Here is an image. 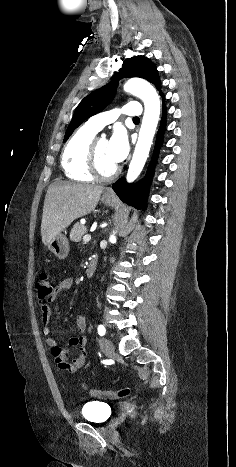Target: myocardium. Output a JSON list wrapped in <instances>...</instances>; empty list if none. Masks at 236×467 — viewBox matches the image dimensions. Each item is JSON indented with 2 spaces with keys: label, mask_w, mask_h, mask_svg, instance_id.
Returning a JSON list of instances; mask_svg holds the SVG:
<instances>
[{
  "label": "myocardium",
  "mask_w": 236,
  "mask_h": 467,
  "mask_svg": "<svg viewBox=\"0 0 236 467\" xmlns=\"http://www.w3.org/2000/svg\"><path fill=\"white\" fill-rule=\"evenodd\" d=\"M98 138L93 139L89 151H88V170L90 174L99 180L107 181L117 176L119 173V167L116 165L109 173H103L98 164V152H97Z\"/></svg>",
  "instance_id": "f54148a6"
}]
</instances>
